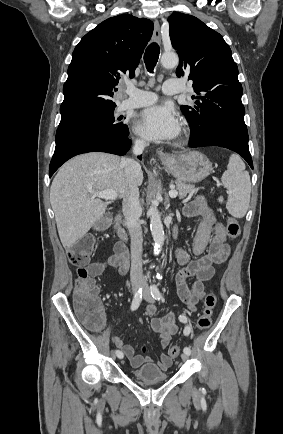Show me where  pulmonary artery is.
Instances as JSON below:
<instances>
[{
	"label": "pulmonary artery",
	"instance_id": "obj_1",
	"mask_svg": "<svg viewBox=\"0 0 283 434\" xmlns=\"http://www.w3.org/2000/svg\"><path fill=\"white\" fill-rule=\"evenodd\" d=\"M163 93L167 95H175L187 91L185 86L178 80H166L162 87ZM127 97L120 104L121 110L140 108L148 106L157 100V95L150 91L137 89L132 84H127L125 87Z\"/></svg>",
	"mask_w": 283,
	"mask_h": 434
}]
</instances>
